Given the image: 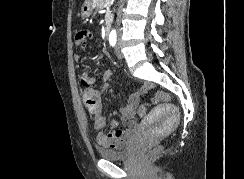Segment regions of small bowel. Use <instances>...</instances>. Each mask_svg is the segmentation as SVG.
<instances>
[{
	"label": "small bowel",
	"instance_id": "small-bowel-1",
	"mask_svg": "<svg viewBox=\"0 0 244 179\" xmlns=\"http://www.w3.org/2000/svg\"><path fill=\"white\" fill-rule=\"evenodd\" d=\"M93 38V32L89 29L81 30L76 35L75 45L80 49H85L88 42ZM85 39L88 40L85 41ZM76 59H79V55H76ZM114 73L111 71H106L100 80H97L89 72L84 71L80 74V81L85 86H95L98 83H102V88L98 92V95H102L108 88L109 84L105 81L112 78ZM139 95L137 92H132L128 99L127 104L121 109L120 116L122 120L126 123L124 129H116L117 122L113 120L111 122L112 130L109 132H100L97 135L96 141L98 144L106 147H121L128 135L136 128L137 121L135 120L134 110H145L144 107L138 108ZM142 116V115H140ZM94 128L96 130H101L106 124L105 117L97 113L94 115Z\"/></svg>",
	"mask_w": 244,
	"mask_h": 179
}]
</instances>
